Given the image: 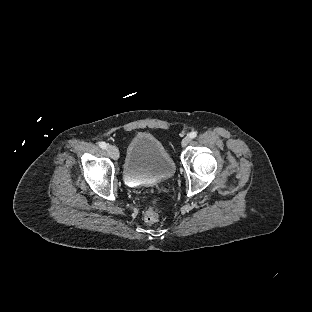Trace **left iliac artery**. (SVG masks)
<instances>
[{
  "label": "left iliac artery",
  "mask_w": 312,
  "mask_h": 312,
  "mask_svg": "<svg viewBox=\"0 0 312 312\" xmlns=\"http://www.w3.org/2000/svg\"><path fill=\"white\" fill-rule=\"evenodd\" d=\"M196 136H197V132H195V131H192V132L189 134V137H190L191 139L195 138Z\"/></svg>",
  "instance_id": "left-iliac-artery-1"
}]
</instances>
